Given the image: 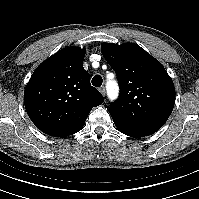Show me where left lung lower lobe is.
<instances>
[{
  "label": "left lung lower lobe",
  "instance_id": "0a47b994",
  "mask_svg": "<svg viewBox=\"0 0 199 199\" xmlns=\"http://www.w3.org/2000/svg\"><path fill=\"white\" fill-rule=\"evenodd\" d=\"M113 121H114L116 127L118 128V130L120 132H122L123 134H126L128 136L140 138V137L149 135V134H147V133H145V132H143L139 129L131 127L130 125L122 122L121 120L113 118Z\"/></svg>",
  "mask_w": 199,
  "mask_h": 199
}]
</instances>
